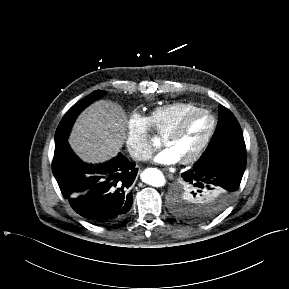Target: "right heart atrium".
<instances>
[{
  "mask_svg": "<svg viewBox=\"0 0 289 289\" xmlns=\"http://www.w3.org/2000/svg\"><path fill=\"white\" fill-rule=\"evenodd\" d=\"M126 148L131 157L143 161L150 157L154 150L149 118L132 112L126 122Z\"/></svg>",
  "mask_w": 289,
  "mask_h": 289,
  "instance_id": "1",
  "label": "right heart atrium"
}]
</instances>
